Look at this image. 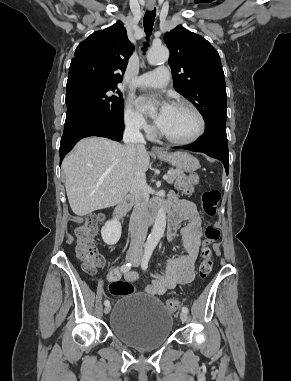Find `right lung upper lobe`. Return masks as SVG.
<instances>
[{
  "label": "right lung upper lobe",
  "mask_w": 291,
  "mask_h": 381,
  "mask_svg": "<svg viewBox=\"0 0 291 381\" xmlns=\"http://www.w3.org/2000/svg\"><path fill=\"white\" fill-rule=\"evenodd\" d=\"M133 46L122 22L91 34L75 50L68 80L89 79L117 85L122 81Z\"/></svg>",
  "instance_id": "1"
}]
</instances>
